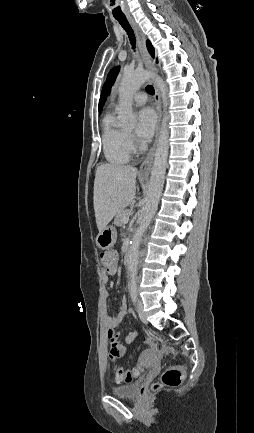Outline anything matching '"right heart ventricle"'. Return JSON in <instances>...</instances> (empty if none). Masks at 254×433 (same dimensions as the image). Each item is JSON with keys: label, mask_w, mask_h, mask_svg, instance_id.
Returning a JSON list of instances; mask_svg holds the SVG:
<instances>
[{"label": "right heart ventricle", "mask_w": 254, "mask_h": 433, "mask_svg": "<svg viewBox=\"0 0 254 433\" xmlns=\"http://www.w3.org/2000/svg\"><path fill=\"white\" fill-rule=\"evenodd\" d=\"M102 148L105 159L111 164H125L131 158L127 132L116 123L112 114L103 119Z\"/></svg>", "instance_id": "1"}]
</instances>
